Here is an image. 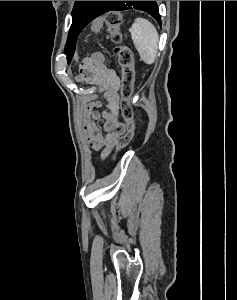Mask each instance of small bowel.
Masks as SVG:
<instances>
[{
  "mask_svg": "<svg viewBox=\"0 0 237 300\" xmlns=\"http://www.w3.org/2000/svg\"><path fill=\"white\" fill-rule=\"evenodd\" d=\"M78 80L95 86L104 94L105 103H94L84 109L83 130L86 141L105 156L116 147L125 125L119 119L120 103L118 90L120 78L113 67L92 65L84 59L79 66ZM102 119L100 128L96 121Z\"/></svg>",
  "mask_w": 237,
  "mask_h": 300,
  "instance_id": "obj_1",
  "label": "small bowel"
}]
</instances>
